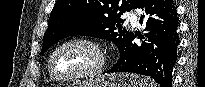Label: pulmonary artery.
I'll return each mask as SVG.
<instances>
[{"label":"pulmonary artery","mask_w":205,"mask_h":87,"mask_svg":"<svg viewBox=\"0 0 205 87\" xmlns=\"http://www.w3.org/2000/svg\"><path fill=\"white\" fill-rule=\"evenodd\" d=\"M125 17L132 25L134 26L138 25V18L135 14L127 13Z\"/></svg>","instance_id":"e3ab8cb5"}]
</instances>
